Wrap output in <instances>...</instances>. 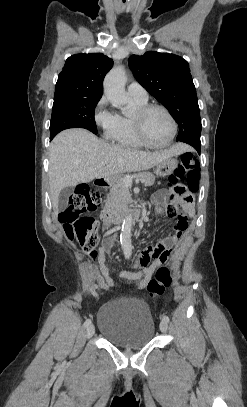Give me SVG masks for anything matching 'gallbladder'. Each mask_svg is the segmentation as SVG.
Wrapping results in <instances>:
<instances>
[{"label": "gallbladder", "instance_id": "1", "mask_svg": "<svg viewBox=\"0 0 247 407\" xmlns=\"http://www.w3.org/2000/svg\"><path fill=\"white\" fill-rule=\"evenodd\" d=\"M73 187H67L61 190L58 197V209L63 211L68 207V199L73 194Z\"/></svg>", "mask_w": 247, "mask_h": 407}]
</instances>
